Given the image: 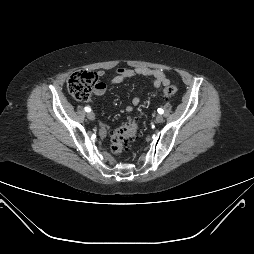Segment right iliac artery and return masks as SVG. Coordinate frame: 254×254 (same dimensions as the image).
Listing matches in <instances>:
<instances>
[{"label": "right iliac artery", "instance_id": "obj_1", "mask_svg": "<svg viewBox=\"0 0 254 254\" xmlns=\"http://www.w3.org/2000/svg\"><path fill=\"white\" fill-rule=\"evenodd\" d=\"M85 111H86V112H90V111H91V108H90L89 106H86V107H85Z\"/></svg>", "mask_w": 254, "mask_h": 254}]
</instances>
